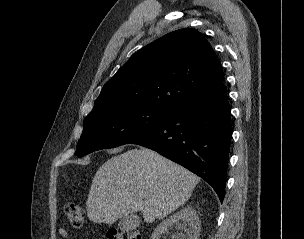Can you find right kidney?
<instances>
[{
	"mask_svg": "<svg viewBox=\"0 0 304 239\" xmlns=\"http://www.w3.org/2000/svg\"><path fill=\"white\" fill-rule=\"evenodd\" d=\"M174 224L178 225V231L172 235V239H198L201 223L198 215L191 207H185L163 220L154 230L151 239H160L161 234ZM183 231L185 233H183Z\"/></svg>",
	"mask_w": 304,
	"mask_h": 239,
	"instance_id": "right-kidney-1",
	"label": "right kidney"
}]
</instances>
